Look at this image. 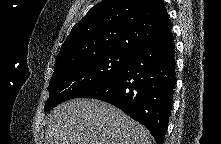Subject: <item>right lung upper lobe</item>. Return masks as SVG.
<instances>
[{
    "label": "right lung upper lobe",
    "instance_id": "obj_1",
    "mask_svg": "<svg viewBox=\"0 0 221 144\" xmlns=\"http://www.w3.org/2000/svg\"><path fill=\"white\" fill-rule=\"evenodd\" d=\"M162 0H103L72 28L55 68L109 51L135 54L171 32Z\"/></svg>",
    "mask_w": 221,
    "mask_h": 144
}]
</instances>
